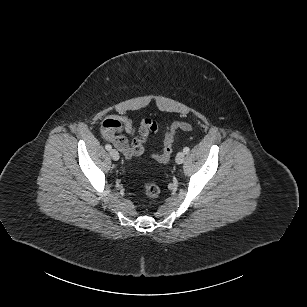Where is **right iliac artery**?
<instances>
[{
	"label": "right iliac artery",
	"mask_w": 307,
	"mask_h": 307,
	"mask_svg": "<svg viewBox=\"0 0 307 307\" xmlns=\"http://www.w3.org/2000/svg\"><path fill=\"white\" fill-rule=\"evenodd\" d=\"M105 148H106V150L110 151L112 147H111L110 144H106V145H105Z\"/></svg>",
	"instance_id": "1"
}]
</instances>
